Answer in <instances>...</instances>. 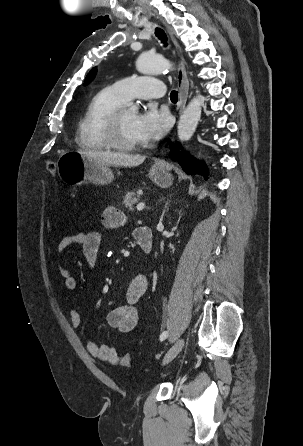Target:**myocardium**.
<instances>
[{
    "label": "myocardium",
    "instance_id": "myocardium-1",
    "mask_svg": "<svg viewBox=\"0 0 303 446\" xmlns=\"http://www.w3.org/2000/svg\"><path fill=\"white\" fill-rule=\"evenodd\" d=\"M125 109L120 107L111 113L105 126V136L110 148L120 151H133L142 147L141 143L126 142L121 137V116Z\"/></svg>",
    "mask_w": 303,
    "mask_h": 446
}]
</instances>
